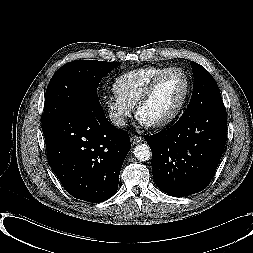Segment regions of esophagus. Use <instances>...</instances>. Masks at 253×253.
I'll return each mask as SVG.
<instances>
[{
  "label": "esophagus",
  "mask_w": 253,
  "mask_h": 253,
  "mask_svg": "<svg viewBox=\"0 0 253 253\" xmlns=\"http://www.w3.org/2000/svg\"><path fill=\"white\" fill-rule=\"evenodd\" d=\"M130 140H131L132 144H138L143 141V138L138 135L132 134L130 136Z\"/></svg>",
  "instance_id": "esophagus-1"
}]
</instances>
